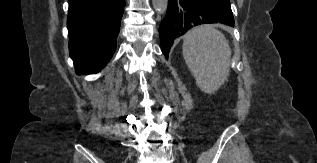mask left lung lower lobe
<instances>
[{
	"instance_id": "left-lung-lower-lobe-1",
	"label": "left lung lower lobe",
	"mask_w": 317,
	"mask_h": 163,
	"mask_svg": "<svg viewBox=\"0 0 317 163\" xmlns=\"http://www.w3.org/2000/svg\"><path fill=\"white\" fill-rule=\"evenodd\" d=\"M216 22L234 26L229 0H169L166 16L159 28L161 48L166 59L177 37L194 26Z\"/></svg>"
}]
</instances>
